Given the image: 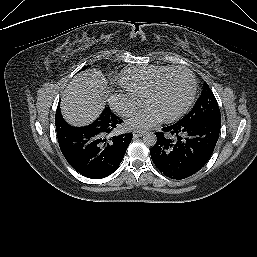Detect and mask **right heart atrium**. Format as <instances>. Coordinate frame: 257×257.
I'll use <instances>...</instances> for the list:
<instances>
[{"instance_id": "d8ad5b80", "label": "right heart atrium", "mask_w": 257, "mask_h": 257, "mask_svg": "<svg viewBox=\"0 0 257 257\" xmlns=\"http://www.w3.org/2000/svg\"><path fill=\"white\" fill-rule=\"evenodd\" d=\"M111 107L121 116H130L141 101L135 95L124 91L113 93L109 98Z\"/></svg>"}]
</instances>
